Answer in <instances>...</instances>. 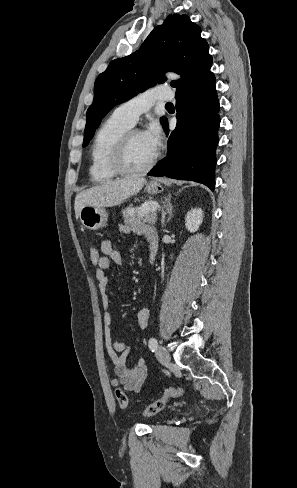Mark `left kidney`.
Segmentation results:
<instances>
[{
  "label": "left kidney",
  "instance_id": "1",
  "mask_svg": "<svg viewBox=\"0 0 297 488\" xmlns=\"http://www.w3.org/2000/svg\"><path fill=\"white\" fill-rule=\"evenodd\" d=\"M203 221V211L200 208L188 211L185 219L186 228L190 232H196Z\"/></svg>",
  "mask_w": 297,
  "mask_h": 488
}]
</instances>
